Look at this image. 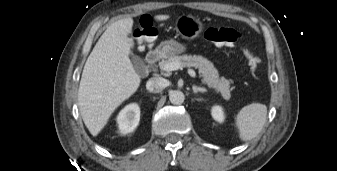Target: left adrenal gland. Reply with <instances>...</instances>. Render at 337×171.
I'll list each match as a JSON object with an SVG mask.
<instances>
[{"label": "left adrenal gland", "instance_id": "1", "mask_svg": "<svg viewBox=\"0 0 337 171\" xmlns=\"http://www.w3.org/2000/svg\"><path fill=\"white\" fill-rule=\"evenodd\" d=\"M193 92L196 94L198 92H201V93H204V92H207V90L205 88H201V87H196L194 86L193 87Z\"/></svg>", "mask_w": 337, "mask_h": 171}]
</instances>
